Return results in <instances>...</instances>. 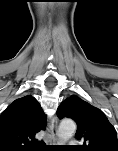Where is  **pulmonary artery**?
I'll return each instance as SVG.
<instances>
[{
    "instance_id": "1",
    "label": "pulmonary artery",
    "mask_w": 118,
    "mask_h": 151,
    "mask_svg": "<svg viewBox=\"0 0 118 151\" xmlns=\"http://www.w3.org/2000/svg\"><path fill=\"white\" fill-rule=\"evenodd\" d=\"M71 143H72V144H75V143H77V142H76V141H71Z\"/></svg>"
}]
</instances>
